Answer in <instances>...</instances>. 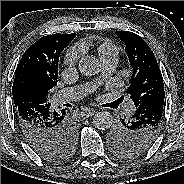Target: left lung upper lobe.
Returning <instances> with one entry per match:
<instances>
[{"label": "left lung upper lobe", "instance_id": "1", "mask_svg": "<svg viewBox=\"0 0 184 184\" xmlns=\"http://www.w3.org/2000/svg\"><path fill=\"white\" fill-rule=\"evenodd\" d=\"M116 35L125 43V51L133 68L127 93L136 107L165 95L163 78L151 48L137 34L117 31ZM162 124V117L154 122L133 125L122 119L109 132L113 152L122 158L138 156L154 143Z\"/></svg>", "mask_w": 184, "mask_h": 184}]
</instances>
